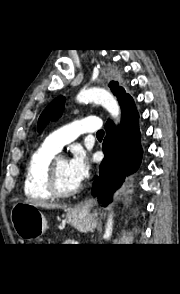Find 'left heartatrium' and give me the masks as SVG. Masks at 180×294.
I'll return each instance as SVG.
<instances>
[{
	"label": "left heart atrium",
	"mask_w": 180,
	"mask_h": 294,
	"mask_svg": "<svg viewBox=\"0 0 180 294\" xmlns=\"http://www.w3.org/2000/svg\"><path fill=\"white\" fill-rule=\"evenodd\" d=\"M68 168L74 181L80 185L87 178L90 171V162L85 151L76 149L73 157L68 162Z\"/></svg>",
	"instance_id": "39dd6f15"
}]
</instances>
